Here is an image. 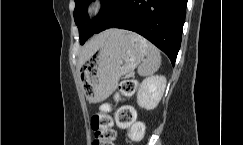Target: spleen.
Masks as SVG:
<instances>
[{
	"mask_svg": "<svg viewBox=\"0 0 243 145\" xmlns=\"http://www.w3.org/2000/svg\"><path fill=\"white\" fill-rule=\"evenodd\" d=\"M141 42L146 47V59L143 60L138 67V74L140 76H150L154 74L161 65L160 52L154 45L148 43L145 39L142 38Z\"/></svg>",
	"mask_w": 243,
	"mask_h": 145,
	"instance_id": "3e777b00",
	"label": "spleen"
}]
</instances>
